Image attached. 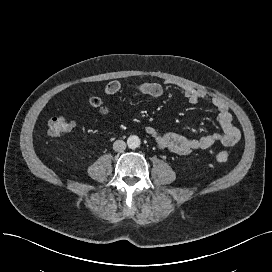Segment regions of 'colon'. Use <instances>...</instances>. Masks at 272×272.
I'll return each mask as SVG.
<instances>
[{
	"label": "colon",
	"instance_id": "5ec220e1",
	"mask_svg": "<svg viewBox=\"0 0 272 272\" xmlns=\"http://www.w3.org/2000/svg\"><path fill=\"white\" fill-rule=\"evenodd\" d=\"M90 106L99 109L102 113L106 112L101 101L97 98L90 100ZM72 125L63 117H52L48 121V133L50 136H61L70 131ZM216 160L221 163H226L229 160V154L225 151H219L216 153Z\"/></svg>",
	"mask_w": 272,
	"mask_h": 272
}]
</instances>
